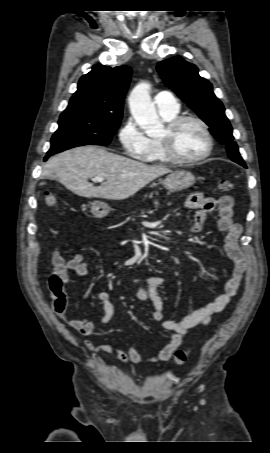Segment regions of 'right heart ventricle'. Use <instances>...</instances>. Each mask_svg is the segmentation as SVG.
Listing matches in <instances>:
<instances>
[{"instance_id":"obj_1","label":"right heart ventricle","mask_w":270,"mask_h":453,"mask_svg":"<svg viewBox=\"0 0 270 453\" xmlns=\"http://www.w3.org/2000/svg\"><path fill=\"white\" fill-rule=\"evenodd\" d=\"M176 115H177V113L176 114H172V115L161 114L162 118L165 121L171 120ZM139 159L141 161H143V162H146V163L164 164V163L170 162L164 156V154H163V152L161 150V147L159 145L158 139H155V138H150L149 139L148 148H147L146 152L141 157H139Z\"/></svg>"}]
</instances>
